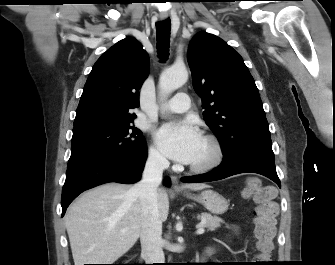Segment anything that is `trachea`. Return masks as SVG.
Instances as JSON below:
<instances>
[{
	"label": "trachea",
	"instance_id": "trachea-1",
	"mask_svg": "<svg viewBox=\"0 0 335 265\" xmlns=\"http://www.w3.org/2000/svg\"><path fill=\"white\" fill-rule=\"evenodd\" d=\"M170 30V19L156 23L157 49L159 58L162 60H166L169 56Z\"/></svg>",
	"mask_w": 335,
	"mask_h": 265
}]
</instances>
